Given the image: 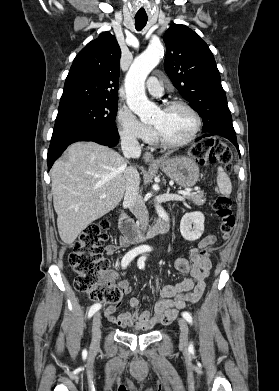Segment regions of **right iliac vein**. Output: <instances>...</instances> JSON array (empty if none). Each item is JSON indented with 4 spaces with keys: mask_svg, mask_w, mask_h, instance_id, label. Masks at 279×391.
Returning <instances> with one entry per match:
<instances>
[{
    "mask_svg": "<svg viewBox=\"0 0 279 391\" xmlns=\"http://www.w3.org/2000/svg\"><path fill=\"white\" fill-rule=\"evenodd\" d=\"M101 313L97 312L92 321V336H93V345H97L101 337Z\"/></svg>",
    "mask_w": 279,
    "mask_h": 391,
    "instance_id": "obj_1",
    "label": "right iliac vein"
}]
</instances>
